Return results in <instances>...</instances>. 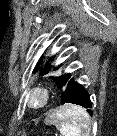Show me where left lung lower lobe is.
I'll list each match as a JSON object with an SVG mask.
<instances>
[{"instance_id": "obj_1", "label": "left lung lower lobe", "mask_w": 117, "mask_h": 136, "mask_svg": "<svg viewBox=\"0 0 117 136\" xmlns=\"http://www.w3.org/2000/svg\"><path fill=\"white\" fill-rule=\"evenodd\" d=\"M61 100L62 103H72L87 108V111L92 114L90 95L75 75H72L65 85Z\"/></svg>"}]
</instances>
